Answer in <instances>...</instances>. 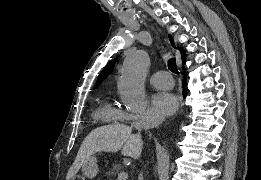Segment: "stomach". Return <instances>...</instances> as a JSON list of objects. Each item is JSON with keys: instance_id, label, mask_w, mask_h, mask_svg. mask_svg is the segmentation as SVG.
<instances>
[{"instance_id": "0dacf381", "label": "stomach", "mask_w": 261, "mask_h": 180, "mask_svg": "<svg viewBox=\"0 0 261 180\" xmlns=\"http://www.w3.org/2000/svg\"><path fill=\"white\" fill-rule=\"evenodd\" d=\"M83 174L87 178H94L98 173L97 160L94 156L89 157L82 165Z\"/></svg>"}]
</instances>
